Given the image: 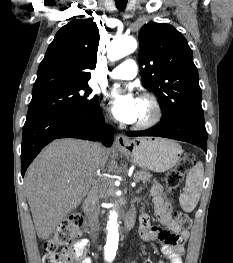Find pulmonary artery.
<instances>
[{
  "instance_id": "1",
  "label": "pulmonary artery",
  "mask_w": 233,
  "mask_h": 263,
  "mask_svg": "<svg viewBox=\"0 0 233 263\" xmlns=\"http://www.w3.org/2000/svg\"><path fill=\"white\" fill-rule=\"evenodd\" d=\"M137 65L133 59H126L120 65L109 72L111 79L129 80L136 76Z\"/></svg>"
}]
</instances>
